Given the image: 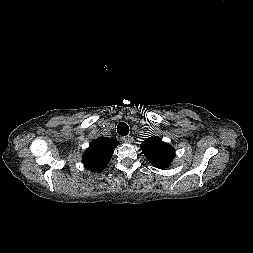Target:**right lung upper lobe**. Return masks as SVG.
I'll return each instance as SVG.
<instances>
[{"label":"right lung upper lobe","mask_w":253,"mask_h":253,"mask_svg":"<svg viewBox=\"0 0 253 253\" xmlns=\"http://www.w3.org/2000/svg\"><path fill=\"white\" fill-rule=\"evenodd\" d=\"M119 142L108 137H99L91 142L83 155L85 167L94 172H101L109 163Z\"/></svg>","instance_id":"right-lung-upper-lobe-1"}]
</instances>
